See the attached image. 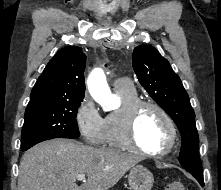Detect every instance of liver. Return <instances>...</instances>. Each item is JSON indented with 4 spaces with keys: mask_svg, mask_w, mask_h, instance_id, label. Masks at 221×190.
<instances>
[{
    "mask_svg": "<svg viewBox=\"0 0 221 190\" xmlns=\"http://www.w3.org/2000/svg\"><path fill=\"white\" fill-rule=\"evenodd\" d=\"M143 157L68 139L42 142L24 153L18 190H108ZM87 174L82 185L78 175Z\"/></svg>",
    "mask_w": 221,
    "mask_h": 190,
    "instance_id": "1",
    "label": "liver"
}]
</instances>
